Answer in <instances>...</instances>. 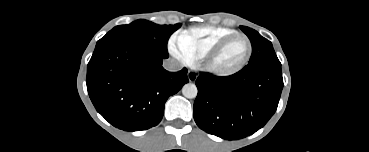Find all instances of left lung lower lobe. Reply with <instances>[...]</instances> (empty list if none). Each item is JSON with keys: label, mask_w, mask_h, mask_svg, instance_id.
<instances>
[{"label": "left lung lower lobe", "mask_w": 369, "mask_h": 152, "mask_svg": "<svg viewBox=\"0 0 369 152\" xmlns=\"http://www.w3.org/2000/svg\"><path fill=\"white\" fill-rule=\"evenodd\" d=\"M194 119L205 132L237 140L262 128L275 113L283 88L281 66L243 68L225 77L201 72Z\"/></svg>", "instance_id": "obj_1"}]
</instances>
